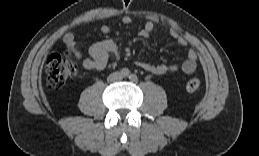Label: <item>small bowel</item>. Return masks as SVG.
I'll use <instances>...</instances> for the list:
<instances>
[{
	"label": "small bowel",
	"instance_id": "obj_1",
	"mask_svg": "<svg viewBox=\"0 0 259 156\" xmlns=\"http://www.w3.org/2000/svg\"><path fill=\"white\" fill-rule=\"evenodd\" d=\"M125 25H132L133 19L130 16H123L121 19ZM101 31L104 34L111 32V27L107 24L101 26ZM155 32V25L153 22H147L140 35L145 39H151ZM169 35L175 39L179 45H187V40L184 36L180 35L176 30L171 29ZM63 42L66 47L71 50L74 56L81 61L84 68L89 70H103L109 61L110 56L118 57V48L112 39H105L92 45L88 51V57H84L83 53L76 46V39L73 33L67 32L63 36ZM198 56L194 49H190L187 53L186 59L181 65L178 64H165V63H148L137 62L136 65L141 69L155 75H163L169 72L182 70L184 73H193L197 68Z\"/></svg>",
	"mask_w": 259,
	"mask_h": 156
}]
</instances>
